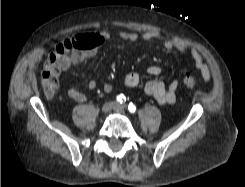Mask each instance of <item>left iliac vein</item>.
Returning <instances> with one entry per match:
<instances>
[{
  "label": "left iliac vein",
  "instance_id": "4c4485c4",
  "mask_svg": "<svg viewBox=\"0 0 245 187\" xmlns=\"http://www.w3.org/2000/svg\"><path fill=\"white\" fill-rule=\"evenodd\" d=\"M114 109L118 112H123L125 110V106L123 104L116 103Z\"/></svg>",
  "mask_w": 245,
  "mask_h": 187
}]
</instances>
